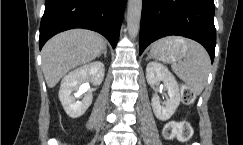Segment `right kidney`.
<instances>
[{
	"mask_svg": "<svg viewBox=\"0 0 243 145\" xmlns=\"http://www.w3.org/2000/svg\"><path fill=\"white\" fill-rule=\"evenodd\" d=\"M104 73V64L95 61L71 71L62 79L59 99L69 117L78 118L85 113L92 103L91 91H85L89 85L88 82L95 86L100 85L104 79ZM83 90L86 93L79 101Z\"/></svg>",
	"mask_w": 243,
	"mask_h": 145,
	"instance_id": "1",
	"label": "right kidney"
}]
</instances>
